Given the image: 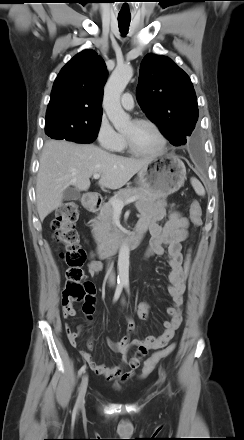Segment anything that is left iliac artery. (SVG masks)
Listing matches in <instances>:
<instances>
[{
	"mask_svg": "<svg viewBox=\"0 0 244 440\" xmlns=\"http://www.w3.org/2000/svg\"><path fill=\"white\" fill-rule=\"evenodd\" d=\"M124 286H125L127 292H129V283H128V282H125V283H124Z\"/></svg>",
	"mask_w": 244,
	"mask_h": 440,
	"instance_id": "left-iliac-artery-1",
	"label": "left iliac artery"
}]
</instances>
